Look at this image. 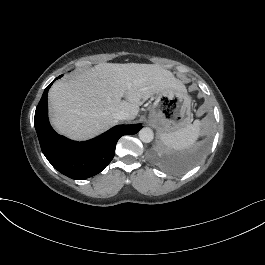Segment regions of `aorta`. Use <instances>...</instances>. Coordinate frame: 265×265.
Segmentation results:
<instances>
[{"instance_id": "762f6f07", "label": "aorta", "mask_w": 265, "mask_h": 265, "mask_svg": "<svg viewBox=\"0 0 265 265\" xmlns=\"http://www.w3.org/2000/svg\"><path fill=\"white\" fill-rule=\"evenodd\" d=\"M154 138L152 129L145 127L139 131V139L144 143H150Z\"/></svg>"}]
</instances>
